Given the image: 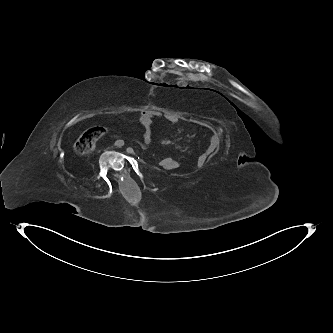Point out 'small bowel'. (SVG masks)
Segmentation results:
<instances>
[{
	"label": "small bowel",
	"mask_w": 333,
	"mask_h": 333,
	"mask_svg": "<svg viewBox=\"0 0 333 333\" xmlns=\"http://www.w3.org/2000/svg\"><path fill=\"white\" fill-rule=\"evenodd\" d=\"M156 118H164L169 123H176L178 121V118L175 116L160 115L152 110L142 111L140 114V123L144 127L143 139L145 142H150L152 140V123L153 120ZM207 158H208V153L201 154L197 160L198 166H203L206 163ZM178 167H179V162L172 158L171 164L169 165L167 164L162 168H164L165 170H175Z\"/></svg>",
	"instance_id": "c3829d8e"
}]
</instances>
